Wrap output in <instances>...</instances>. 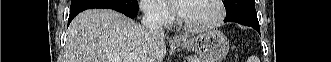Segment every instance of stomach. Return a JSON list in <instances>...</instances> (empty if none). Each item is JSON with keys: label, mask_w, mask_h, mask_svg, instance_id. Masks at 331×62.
<instances>
[{"label": "stomach", "mask_w": 331, "mask_h": 62, "mask_svg": "<svg viewBox=\"0 0 331 62\" xmlns=\"http://www.w3.org/2000/svg\"><path fill=\"white\" fill-rule=\"evenodd\" d=\"M176 45L199 54L204 62H222L229 52V41L219 31H207L197 36L185 38Z\"/></svg>", "instance_id": "1"}]
</instances>
